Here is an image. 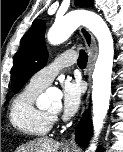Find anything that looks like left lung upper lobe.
I'll list each match as a JSON object with an SVG mask.
<instances>
[{"label": "left lung upper lobe", "mask_w": 123, "mask_h": 152, "mask_svg": "<svg viewBox=\"0 0 123 152\" xmlns=\"http://www.w3.org/2000/svg\"><path fill=\"white\" fill-rule=\"evenodd\" d=\"M80 6H91L92 0H76ZM45 23L35 20L25 34L17 53L12 74V89L17 93L29 78L46 65L48 53L44 42Z\"/></svg>", "instance_id": "1"}]
</instances>
